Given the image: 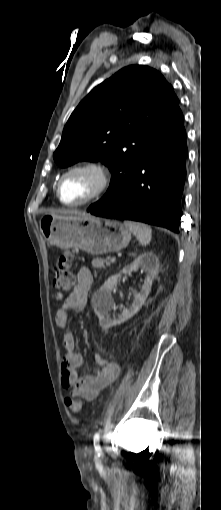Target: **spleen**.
<instances>
[{"mask_svg":"<svg viewBox=\"0 0 221 510\" xmlns=\"http://www.w3.org/2000/svg\"><path fill=\"white\" fill-rule=\"evenodd\" d=\"M125 228H127L130 232H132L139 243L142 246H146L150 243L152 238V229L146 224L134 222V221H124Z\"/></svg>","mask_w":221,"mask_h":510,"instance_id":"1","label":"spleen"}]
</instances>
